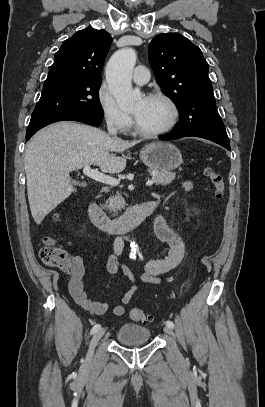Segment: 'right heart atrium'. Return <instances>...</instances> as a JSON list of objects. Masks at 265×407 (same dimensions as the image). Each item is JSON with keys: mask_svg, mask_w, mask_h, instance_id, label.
Segmentation results:
<instances>
[{"mask_svg": "<svg viewBox=\"0 0 265 407\" xmlns=\"http://www.w3.org/2000/svg\"><path fill=\"white\" fill-rule=\"evenodd\" d=\"M97 101L102 116L109 127L118 132H126L130 128L132 123L131 117L119 108L105 85L99 87Z\"/></svg>", "mask_w": 265, "mask_h": 407, "instance_id": "obj_1", "label": "right heart atrium"}]
</instances>
